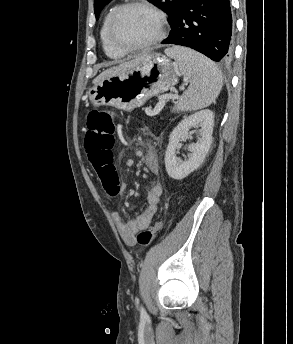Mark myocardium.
I'll use <instances>...</instances> for the list:
<instances>
[{
    "mask_svg": "<svg viewBox=\"0 0 293 344\" xmlns=\"http://www.w3.org/2000/svg\"><path fill=\"white\" fill-rule=\"evenodd\" d=\"M133 7H140L151 12L157 19L158 29H157L156 35L152 37L150 40H148L147 42L139 44V45L130 46V45L123 44L117 38L116 24L121 13L124 10L133 8ZM166 31H167V20H166L165 14L160 9H158L157 7L148 3L145 0H127L125 3L116 7L110 17L109 27H108V35H109V40L111 44L117 50L124 53L140 52V51H144L153 47L154 45L158 44L164 39L166 35Z\"/></svg>",
    "mask_w": 293,
    "mask_h": 344,
    "instance_id": "obj_1",
    "label": "myocardium"
}]
</instances>
